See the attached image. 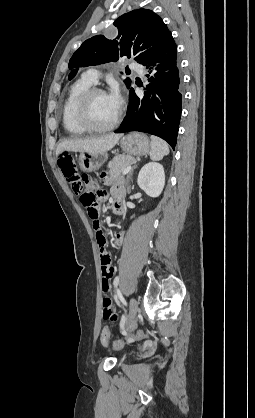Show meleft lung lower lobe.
I'll use <instances>...</instances> for the list:
<instances>
[{"instance_id":"0a47b994","label":"left lung lower lobe","mask_w":255,"mask_h":418,"mask_svg":"<svg viewBox=\"0 0 255 418\" xmlns=\"http://www.w3.org/2000/svg\"><path fill=\"white\" fill-rule=\"evenodd\" d=\"M142 65L149 74L143 97L129 91V109L116 133L140 131L166 140L174 149L182 105V78L173 37L157 54Z\"/></svg>"}]
</instances>
